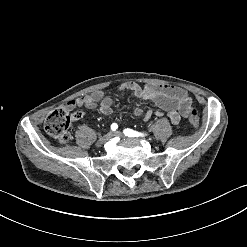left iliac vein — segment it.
Returning a JSON list of instances; mask_svg holds the SVG:
<instances>
[{"label": "left iliac vein", "mask_w": 247, "mask_h": 247, "mask_svg": "<svg viewBox=\"0 0 247 247\" xmlns=\"http://www.w3.org/2000/svg\"><path fill=\"white\" fill-rule=\"evenodd\" d=\"M113 136H118V137H121V138H124V139H127V140H137L136 138H127L123 135L122 132L120 131H116L112 134Z\"/></svg>", "instance_id": "obj_1"}]
</instances>
